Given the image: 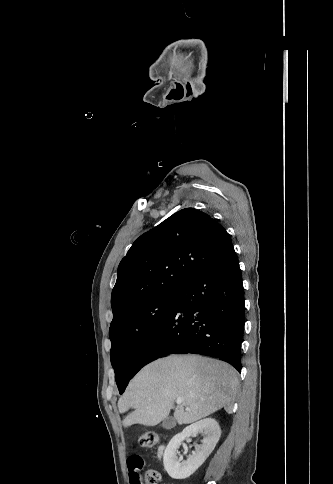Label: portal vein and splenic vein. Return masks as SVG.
<instances>
[{
  "label": "portal vein and splenic vein",
  "instance_id": "obj_1",
  "mask_svg": "<svg viewBox=\"0 0 333 484\" xmlns=\"http://www.w3.org/2000/svg\"><path fill=\"white\" fill-rule=\"evenodd\" d=\"M182 401H183V399H182V398H178V399L176 400V403H177V404H181V403H182Z\"/></svg>",
  "mask_w": 333,
  "mask_h": 484
}]
</instances>
